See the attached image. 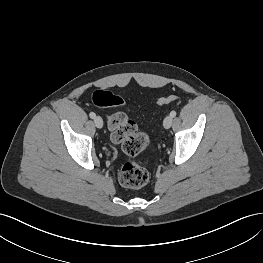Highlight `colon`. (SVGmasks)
I'll return each instance as SVG.
<instances>
[{
	"label": "colon",
	"instance_id": "obj_1",
	"mask_svg": "<svg viewBox=\"0 0 263 263\" xmlns=\"http://www.w3.org/2000/svg\"><path fill=\"white\" fill-rule=\"evenodd\" d=\"M175 95H164L158 99L159 105H166L176 101ZM92 100L94 104L102 108L121 107L123 99L115 93L107 90L94 92ZM108 128L111 139L119 144L122 151L135 157L141 153L149 142L148 135L138 130L136 124L123 112H115L108 116ZM149 180L147 169L134 160L127 161L119 172V181L122 185L130 188L143 187Z\"/></svg>",
	"mask_w": 263,
	"mask_h": 263
}]
</instances>
